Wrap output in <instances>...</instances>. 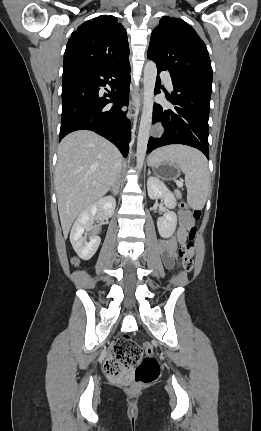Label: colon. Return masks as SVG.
I'll use <instances>...</instances> for the list:
<instances>
[{"instance_id":"obj_1","label":"colon","mask_w":261,"mask_h":431,"mask_svg":"<svg viewBox=\"0 0 261 431\" xmlns=\"http://www.w3.org/2000/svg\"><path fill=\"white\" fill-rule=\"evenodd\" d=\"M180 208L191 219H199L200 212L190 209L187 204L182 203ZM196 233L197 230L195 227L188 229L187 238L179 252L182 259V267L187 273L192 272L194 268L193 240ZM73 263L77 265L78 260L73 259ZM130 368H134V385L137 387L152 383L160 373L159 363L154 357V351L151 346L147 345L143 349L131 338L126 336L119 337L113 343L111 356L104 364L105 373L111 377H118Z\"/></svg>"}]
</instances>
